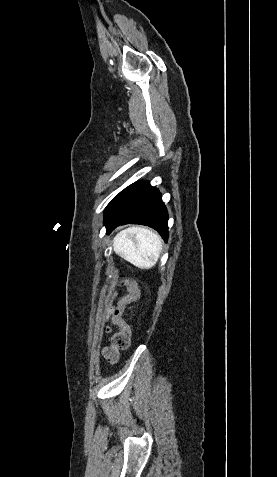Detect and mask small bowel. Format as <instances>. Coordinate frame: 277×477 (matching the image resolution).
<instances>
[{
	"label": "small bowel",
	"instance_id": "1",
	"mask_svg": "<svg viewBox=\"0 0 277 477\" xmlns=\"http://www.w3.org/2000/svg\"><path fill=\"white\" fill-rule=\"evenodd\" d=\"M122 297L120 299H122ZM115 306L116 305H110L107 309V318L110 319V320L112 319V311L115 309ZM118 327H120V326H118ZM107 331H109V329H107Z\"/></svg>",
	"mask_w": 277,
	"mask_h": 477
}]
</instances>
